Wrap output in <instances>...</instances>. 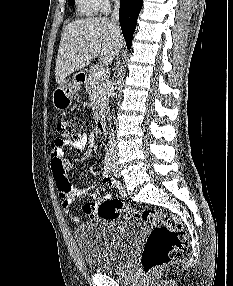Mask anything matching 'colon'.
I'll return each instance as SVG.
<instances>
[{"label":"colon","instance_id":"obj_1","mask_svg":"<svg viewBox=\"0 0 233 286\" xmlns=\"http://www.w3.org/2000/svg\"><path fill=\"white\" fill-rule=\"evenodd\" d=\"M83 121L80 117H71L56 126L57 140L76 142L81 137ZM100 218L111 220L125 214L141 220L150 228V234L143 248L140 262L145 273L169 263L179 257L188 246V236L182 221L175 215L155 209L134 210L117 199H106L98 204Z\"/></svg>","mask_w":233,"mask_h":286}]
</instances>
